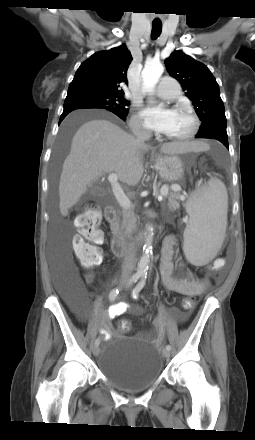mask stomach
Returning <instances> with one entry per match:
<instances>
[{"label": "stomach", "instance_id": "stomach-1", "mask_svg": "<svg viewBox=\"0 0 255 440\" xmlns=\"http://www.w3.org/2000/svg\"><path fill=\"white\" fill-rule=\"evenodd\" d=\"M154 163L160 177L167 181H179L184 176V164L177 155H158L155 157Z\"/></svg>", "mask_w": 255, "mask_h": 440}]
</instances>
